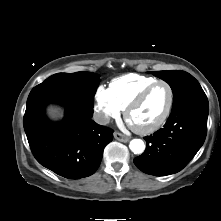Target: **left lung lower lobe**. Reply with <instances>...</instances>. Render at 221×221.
<instances>
[{
    "label": "left lung lower lobe",
    "instance_id": "obj_1",
    "mask_svg": "<svg viewBox=\"0 0 221 221\" xmlns=\"http://www.w3.org/2000/svg\"><path fill=\"white\" fill-rule=\"evenodd\" d=\"M208 99L192 94L173 105L159 131L144 137L146 150L134 159L144 173L166 176L182 170L203 145L207 133Z\"/></svg>",
    "mask_w": 221,
    "mask_h": 221
}]
</instances>
